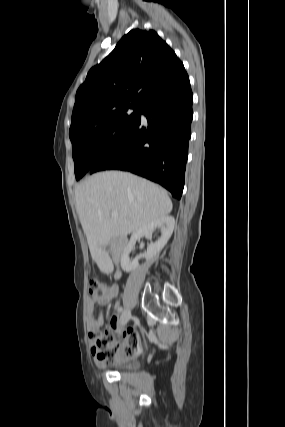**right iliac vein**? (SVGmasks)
Wrapping results in <instances>:
<instances>
[{"instance_id": "right-iliac-vein-1", "label": "right iliac vein", "mask_w": 285, "mask_h": 427, "mask_svg": "<svg viewBox=\"0 0 285 427\" xmlns=\"http://www.w3.org/2000/svg\"><path fill=\"white\" fill-rule=\"evenodd\" d=\"M131 318V312H130V310L129 309H126L123 313H122V316H121V318H120V323L122 324V325H125L128 321H129V319Z\"/></svg>"}]
</instances>
